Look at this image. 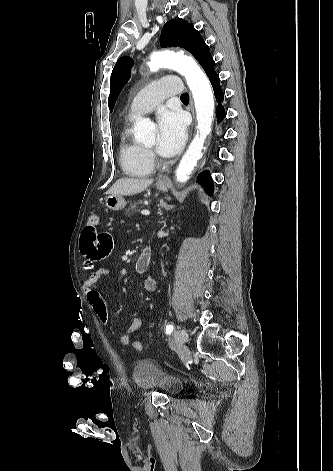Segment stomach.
<instances>
[{"mask_svg":"<svg viewBox=\"0 0 333 471\" xmlns=\"http://www.w3.org/2000/svg\"><path fill=\"white\" fill-rule=\"evenodd\" d=\"M156 188L159 191L165 192L169 188V183H156ZM106 207L113 211L121 210L125 207L126 201L122 195L110 194L105 201Z\"/></svg>","mask_w":333,"mask_h":471,"instance_id":"0dacf381","label":"stomach"}]
</instances>
